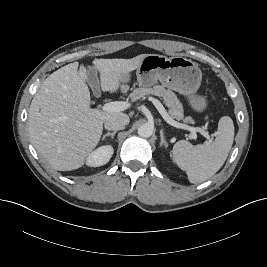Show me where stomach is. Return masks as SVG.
<instances>
[{
	"label": "stomach",
	"mask_w": 267,
	"mask_h": 267,
	"mask_svg": "<svg viewBox=\"0 0 267 267\" xmlns=\"http://www.w3.org/2000/svg\"><path fill=\"white\" fill-rule=\"evenodd\" d=\"M136 76L142 87H150L159 81L163 86L186 96L197 112H202L207 106L206 98L196 94L201 85L202 72L191 59L146 54L136 70ZM129 79V73L122 76L123 90L128 89L126 83Z\"/></svg>",
	"instance_id": "obj_1"
}]
</instances>
